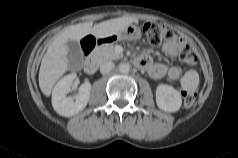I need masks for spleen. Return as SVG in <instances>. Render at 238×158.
Masks as SVG:
<instances>
[{
    "instance_id": "spleen-1",
    "label": "spleen",
    "mask_w": 238,
    "mask_h": 158,
    "mask_svg": "<svg viewBox=\"0 0 238 158\" xmlns=\"http://www.w3.org/2000/svg\"><path fill=\"white\" fill-rule=\"evenodd\" d=\"M199 84V75L195 70H189L181 79V85L188 91H195Z\"/></svg>"
}]
</instances>
